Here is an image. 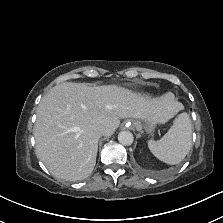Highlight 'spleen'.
<instances>
[{
	"instance_id": "obj_1",
	"label": "spleen",
	"mask_w": 223,
	"mask_h": 223,
	"mask_svg": "<svg viewBox=\"0 0 223 223\" xmlns=\"http://www.w3.org/2000/svg\"><path fill=\"white\" fill-rule=\"evenodd\" d=\"M192 147V123L189 115L181 113L168 132L158 141L150 139L148 148L160 161L175 165L180 163Z\"/></svg>"
}]
</instances>
